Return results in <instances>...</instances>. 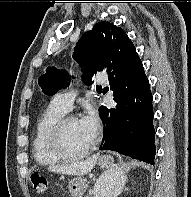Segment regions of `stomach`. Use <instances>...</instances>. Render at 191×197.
Instances as JSON below:
<instances>
[{
    "label": "stomach",
    "instance_id": "obj_1",
    "mask_svg": "<svg viewBox=\"0 0 191 197\" xmlns=\"http://www.w3.org/2000/svg\"><path fill=\"white\" fill-rule=\"evenodd\" d=\"M113 162V158L108 155L101 156L98 160V165L101 168L110 171V178L104 191L105 196H110L113 192L118 191L124 182L122 172L120 170L113 169ZM116 172H119V174H113ZM68 188L72 197H82L87 188L86 180L81 176H77L69 180Z\"/></svg>",
    "mask_w": 191,
    "mask_h": 197
}]
</instances>
